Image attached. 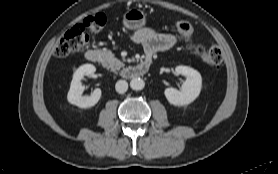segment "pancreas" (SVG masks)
Returning <instances> with one entry per match:
<instances>
[{
  "label": "pancreas",
  "mask_w": 278,
  "mask_h": 174,
  "mask_svg": "<svg viewBox=\"0 0 278 174\" xmlns=\"http://www.w3.org/2000/svg\"><path fill=\"white\" fill-rule=\"evenodd\" d=\"M101 62L104 67L111 69V71L120 70L121 67H124V64L115 58L114 54L110 51H101Z\"/></svg>",
  "instance_id": "1"
}]
</instances>
